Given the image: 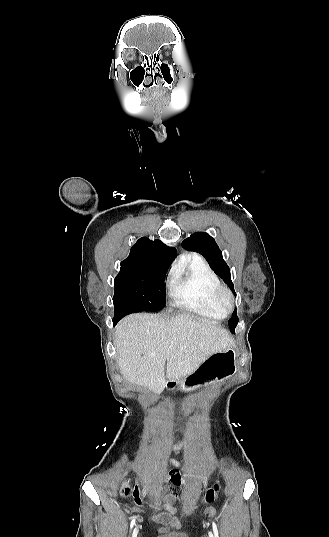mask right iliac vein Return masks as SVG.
<instances>
[{
	"instance_id": "63e3f726",
	"label": "right iliac vein",
	"mask_w": 329,
	"mask_h": 537,
	"mask_svg": "<svg viewBox=\"0 0 329 537\" xmlns=\"http://www.w3.org/2000/svg\"><path fill=\"white\" fill-rule=\"evenodd\" d=\"M138 532H139V527L137 526V527L134 529L133 533H132V537H137Z\"/></svg>"
}]
</instances>
